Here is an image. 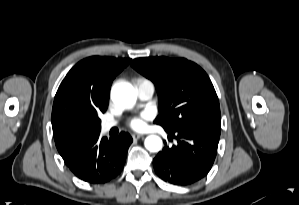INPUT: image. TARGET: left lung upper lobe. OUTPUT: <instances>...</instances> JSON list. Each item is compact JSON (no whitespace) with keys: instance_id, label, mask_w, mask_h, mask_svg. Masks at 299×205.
I'll use <instances>...</instances> for the list:
<instances>
[{"instance_id":"obj_1","label":"left lung upper lobe","mask_w":299,"mask_h":205,"mask_svg":"<svg viewBox=\"0 0 299 205\" xmlns=\"http://www.w3.org/2000/svg\"><path fill=\"white\" fill-rule=\"evenodd\" d=\"M132 67L156 86L159 115L155 123L174 130L204 123L221 122L214 87L197 64L184 58H137Z\"/></svg>"}]
</instances>
